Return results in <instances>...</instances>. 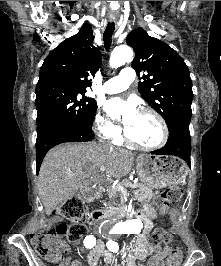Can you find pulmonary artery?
<instances>
[{"instance_id": "e3ab8cb5", "label": "pulmonary artery", "mask_w": 221, "mask_h": 266, "mask_svg": "<svg viewBox=\"0 0 221 266\" xmlns=\"http://www.w3.org/2000/svg\"><path fill=\"white\" fill-rule=\"evenodd\" d=\"M135 76L130 67H125L120 74L114 78L107 80L102 90L107 94H115L128 89Z\"/></svg>"}]
</instances>
